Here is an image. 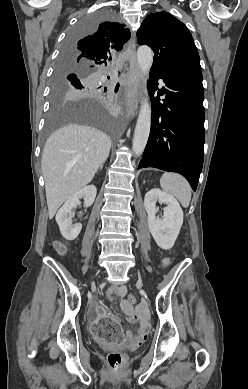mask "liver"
I'll return each mask as SVG.
<instances>
[{
  "mask_svg": "<svg viewBox=\"0 0 248 389\" xmlns=\"http://www.w3.org/2000/svg\"><path fill=\"white\" fill-rule=\"evenodd\" d=\"M110 148V138L87 125H66L50 135L41 166L50 219L67 199L91 182Z\"/></svg>",
  "mask_w": 248,
  "mask_h": 389,
  "instance_id": "1",
  "label": "liver"
}]
</instances>
